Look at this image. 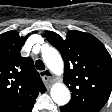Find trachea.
<instances>
[{
	"label": "trachea",
	"mask_w": 112,
	"mask_h": 112,
	"mask_svg": "<svg viewBox=\"0 0 112 112\" xmlns=\"http://www.w3.org/2000/svg\"><path fill=\"white\" fill-rule=\"evenodd\" d=\"M35 66L37 70H40V71L45 70V65L43 61L40 59L36 61Z\"/></svg>",
	"instance_id": "3493384b"
}]
</instances>
